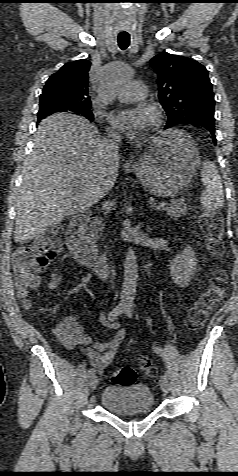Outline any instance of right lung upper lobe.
Instances as JSON below:
<instances>
[{
  "mask_svg": "<svg viewBox=\"0 0 238 476\" xmlns=\"http://www.w3.org/2000/svg\"><path fill=\"white\" fill-rule=\"evenodd\" d=\"M90 61L86 59L69 62L47 80L40 102H53L74 111L90 107L88 71Z\"/></svg>",
  "mask_w": 238,
  "mask_h": 476,
  "instance_id": "obj_1",
  "label": "right lung upper lobe"
}]
</instances>
